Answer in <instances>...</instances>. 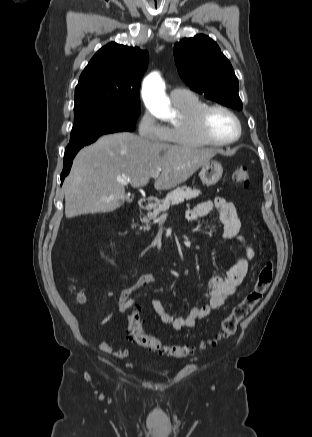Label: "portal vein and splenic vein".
<instances>
[{
	"instance_id": "18ae733b",
	"label": "portal vein and splenic vein",
	"mask_w": 312,
	"mask_h": 437,
	"mask_svg": "<svg viewBox=\"0 0 312 437\" xmlns=\"http://www.w3.org/2000/svg\"><path fill=\"white\" fill-rule=\"evenodd\" d=\"M161 169H159V171H160ZM156 172V173H154V174H152V178H157L158 176H159V174H160V172ZM119 182L120 183H122V184H124V185H127L128 184V181H126V180H119Z\"/></svg>"
}]
</instances>
